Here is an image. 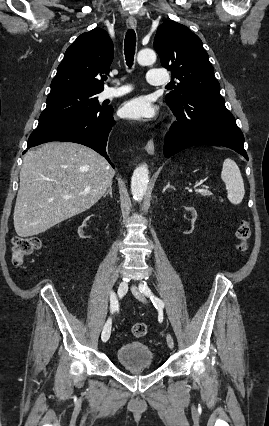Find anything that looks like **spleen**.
<instances>
[{
  "label": "spleen",
  "instance_id": "3e777b00",
  "mask_svg": "<svg viewBox=\"0 0 269 426\" xmlns=\"http://www.w3.org/2000/svg\"><path fill=\"white\" fill-rule=\"evenodd\" d=\"M221 178L226 185L228 200L234 205L240 204L244 198L245 189L240 169L235 161L230 158L224 160Z\"/></svg>",
  "mask_w": 269,
  "mask_h": 426
}]
</instances>
